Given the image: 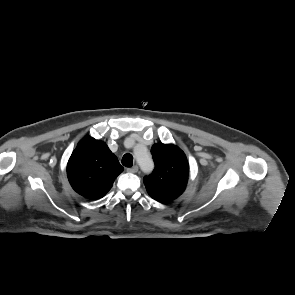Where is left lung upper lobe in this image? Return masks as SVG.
Instances as JSON below:
<instances>
[{
    "label": "left lung upper lobe",
    "mask_w": 295,
    "mask_h": 295,
    "mask_svg": "<svg viewBox=\"0 0 295 295\" xmlns=\"http://www.w3.org/2000/svg\"><path fill=\"white\" fill-rule=\"evenodd\" d=\"M155 168L144 177L148 194L160 203L177 199L185 190L189 165L184 152L173 144L156 143L151 148Z\"/></svg>",
    "instance_id": "left-lung-upper-lobe-1"
}]
</instances>
